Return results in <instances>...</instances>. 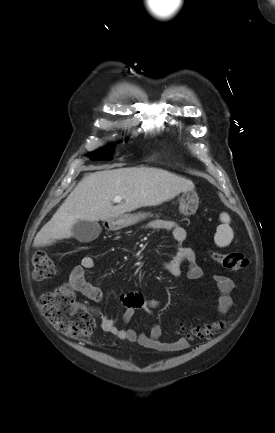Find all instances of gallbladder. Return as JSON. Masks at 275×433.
Returning <instances> with one entry per match:
<instances>
[{"label":"gallbladder","mask_w":275,"mask_h":433,"mask_svg":"<svg viewBox=\"0 0 275 433\" xmlns=\"http://www.w3.org/2000/svg\"><path fill=\"white\" fill-rule=\"evenodd\" d=\"M101 233V227L95 221L79 220L72 228L73 237L82 243L94 241Z\"/></svg>","instance_id":"obj_1"}]
</instances>
